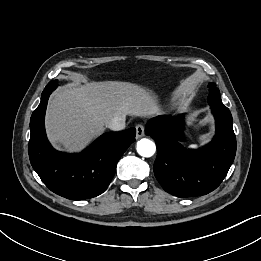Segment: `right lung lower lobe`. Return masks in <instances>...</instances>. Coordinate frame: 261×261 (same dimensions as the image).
Here are the masks:
<instances>
[{"mask_svg": "<svg viewBox=\"0 0 261 261\" xmlns=\"http://www.w3.org/2000/svg\"><path fill=\"white\" fill-rule=\"evenodd\" d=\"M56 87V81L48 83L30 119L31 165L43 183L62 197L71 200L96 197L111 182L118 160L135 141L136 130L105 133L79 154L56 151L48 142L44 128L48 98Z\"/></svg>", "mask_w": 261, "mask_h": 261, "instance_id": "98d812e1", "label": "right lung lower lobe"}]
</instances>
